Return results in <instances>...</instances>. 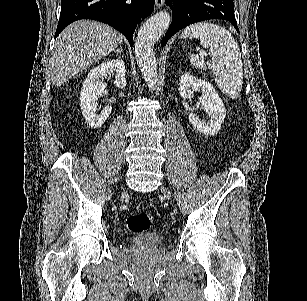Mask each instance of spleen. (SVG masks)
<instances>
[{
    "instance_id": "spleen-1",
    "label": "spleen",
    "mask_w": 307,
    "mask_h": 301,
    "mask_svg": "<svg viewBox=\"0 0 307 301\" xmlns=\"http://www.w3.org/2000/svg\"><path fill=\"white\" fill-rule=\"evenodd\" d=\"M180 38H200L202 46L209 48L211 62L199 54H190L194 68H210L215 82L223 94L238 98L243 82V64L240 48L231 32L213 22H195L181 32Z\"/></svg>"
}]
</instances>
